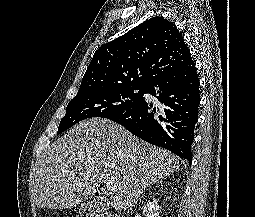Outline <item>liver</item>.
<instances>
[{"instance_id": "liver-1", "label": "liver", "mask_w": 255, "mask_h": 217, "mask_svg": "<svg viewBox=\"0 0 255 217\" xmlns=\"http://www.w3.org/2000/svg\"><path fill=\"white\" fill-rule=\"evenodd\" d=\"M179 169L171 152L102 118L76 124L40 156L31 198L39 208L69 209L92 197L107 180L116 188L109 205L125 210L154 182Z\"/></svg>"}]
</instances>
